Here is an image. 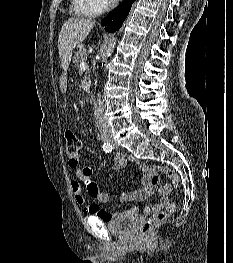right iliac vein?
<instances>
[{
  "instance_id": "right-iliac-vein-1",
  "label": "right iliac vein",
  "mask_w": 233,
  "mask_h": 263,
  "mask_svg": "<svg viewBox=\"0 0 233 263\" xmlns=\"http://www.w3.org/2000/svg\"><path fill=\"white\" fill-rule=\"evenodd\" d=\"M104 140L107 142H111L112 138L110 136L105 135Z\"/></svg>"
}]
</instances>
